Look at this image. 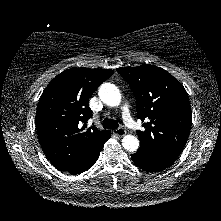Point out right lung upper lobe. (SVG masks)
Listing matches in <instances>:
<instances>
[{
    "instance_id": "obj_1",
    "label": "right lung upper lobe",
    "mask_w": 221,
    "mask_h": 221,
    "mask_svg": "<svg viewBox=\"0 0 221 221\" xmlns=\"http://www.w3.org/2000/svg\"><path fill=\"white\" fill-rule=\"evenodd\" d=\"M113 73L111 69L70 68L43 92L35 118L38 138L59 171L73 166L108 133L82 124L92 116L88 105L91 94Z\"/></svg>"
}]
</instances>
